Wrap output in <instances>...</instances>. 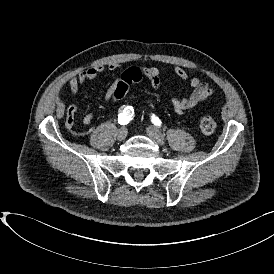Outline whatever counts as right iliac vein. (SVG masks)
<instances>
[{
    "label": "right iliac vein",
    "instance_id": "63e3f726",
    "mask_svg": "<svg viewBox=\"0 0 274 274\" xmlns=\"http://www.w3.org/2000/svg\"><path fill=\"white\" fill-rule=\"evenodd\" d=\"M127 137V129L125 127H122L117 132V139L119 141H123Z\"/></svg>",
    "mask_w": 274,
    "mask_h": 274
}]
</instances>
